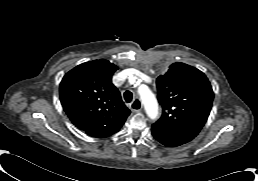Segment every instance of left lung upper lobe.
Segmentation results:
<instances>
[{"mask_svg": "<svg viewBox=\"0 0 258 181\" xmlns=\"http://www.w3.org/2000/svg\"><path fill=\"white\" fill-rule=\"evenodd\" d=\"M163 113L155 125L195 137L205 124L213 101V90L200 70L174 63L156 81Z\"/></svg>", "mask_w": 258, "mask_h": 181, "instance_id": "left-lung-upper-lobe-1", "label": "left lung upper lobe"}]
</instances>
